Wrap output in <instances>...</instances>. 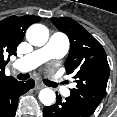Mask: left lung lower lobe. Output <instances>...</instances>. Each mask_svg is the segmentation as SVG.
Listing matches in <instances>:
<instances>
[{
  "mask_svg": "<svg viewBox=\"0 0 117 117\" xmlns=\"http://www.w3.org/2000/svg\"><path fill=\"white\" fill-rule=\"evenodd\" d=\"M93 113L92 109L72 96L62 101L57 95V102L43 109V117H89Z\"/></svg>",
  "mask_w": 117,
  "mask_h": 117,
  "instance_id": "1",
  "label": "left lung lower lobe"
}]
</instances>
